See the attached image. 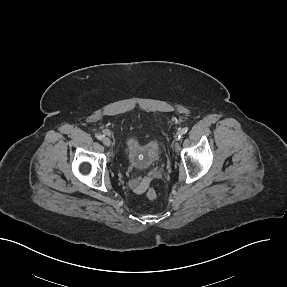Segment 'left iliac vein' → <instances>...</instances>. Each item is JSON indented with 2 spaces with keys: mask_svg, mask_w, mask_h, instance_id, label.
Listing matches in <instances>:
<instances>
[{
  "mask_svg": "<svg viewBox=\"0 0 287 287\" xmlns=\"http://www.w3.org/2000/svg\"><path fill=\"white\" fill-rule=\"evenodd\" d=\"M175 146H176V147H179V144H178V143H175Z\"/></svg>",
  "mask_w": 287,
  "mask_h": 287,
  "instance_id": "4c4485c4",
  "label": "left iliac vein"
}]
</instances>
